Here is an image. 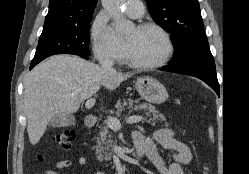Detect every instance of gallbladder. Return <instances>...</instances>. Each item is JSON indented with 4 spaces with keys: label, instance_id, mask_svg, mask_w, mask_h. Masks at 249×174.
I'll use <instances>...</instances> for the list:
<instances>
[{
    "label": "gallbladder",
    "instance_id": "1",
    "mask_svg": "<svg viewBox=\"0 0 249 174\" xmlns=\"http://www.w3.org/2000/svg\"><path fill=\"white\" fill-rule=\"evenodd\" d=\"M75 124V118L72 114H56L52 117L49 122V125L52 127H63L71 126Z\"/></svg>",
    "mask_w": 249,
    "mask_h": 174
}]
</instances>
